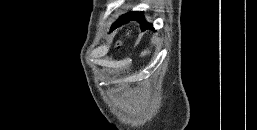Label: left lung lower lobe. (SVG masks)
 Here are the masks:
<instances>
[{
  "mask_svg": "<svg viewBox=\"0 0 257 130\" xmlns=\"http://www.w3.org/2000/svg\"><path fill=\"white\" fill-rule=\"evenodd\" d=\"M129 20H137L139 23L142 24V30H146L151 28L152 24L147 23L143 12H129L124 15H122L111 27L112 30L116 29L118 25H121L123 22L129 21Z\"/></svg>",
  "mask_w": 257,
  "mask_h": 130,
  "instance_id": "obj_1",
  "label": "left lung lower lobe"
}]
</instances>
